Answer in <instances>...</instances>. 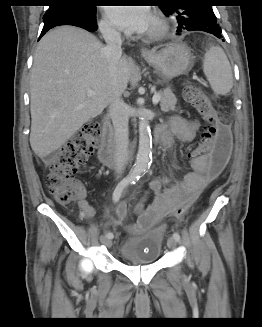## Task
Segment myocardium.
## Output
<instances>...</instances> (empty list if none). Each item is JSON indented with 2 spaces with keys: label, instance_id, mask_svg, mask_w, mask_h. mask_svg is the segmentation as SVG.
Returning a JSON list of instances; mask_svg holds the SVG:
<instances>
[{
  "label": "myocardium",
  "instance_id": "myocardium-1",
  "mask_svg": "<svg viewBox=\"0 0 262 327\" xmlns=\"http://www.w3.org/2000/svg\"><path fill=\"white\" fill-rule=\"evenodd\" d=\"M168 31V25L165 20L158 14H155L152 18V24L145 36L151 40L161 39L166 35Z\"/></svg>",
  "mask_w": 262,
  "mask_h": 327
}]
</instances>
